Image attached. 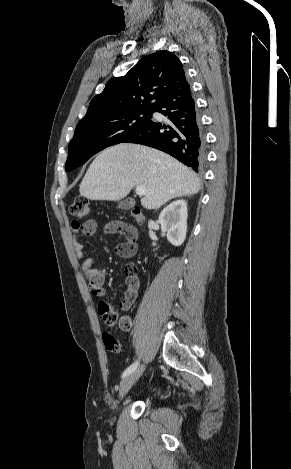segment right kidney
I'll list each match as a JSON object with an SVG mask.
<instances>
[{
    "mask_svg": "<svg viewBox=\"0 0 291 469\" xmlns=\"http://www.w3.org/2000/svg\"><path fill=\"white\" fill-rule=\"evenodd\" d=\"M187 203L177 200L169 204L159 215L161 230L166 232L168 241L174 246H181L187 232Z\"/></svg>",
    "mask_w": 291,
    "mask_h": 469,
    "instance_id": "obj_1",
    "label": "right kidney"
}]
</instances>
